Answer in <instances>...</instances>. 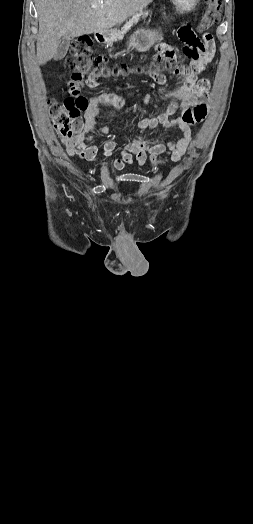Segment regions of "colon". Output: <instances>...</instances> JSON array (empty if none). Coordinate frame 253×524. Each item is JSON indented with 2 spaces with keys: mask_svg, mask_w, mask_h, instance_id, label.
<instances>
[{
  "mask_svg": "<svg viewBox=\"0 0 253 524\" xmlns=\"http://www.w3.org/2000/svg\"><path fill=\"white\" fill-rule=\"evenodd\" d=\"M221 13L222 0H206L198 30L204 32L214 28L221 19ZM110 61L109 53H96L93 56L92 39L87 35L79 36L71 44L69 55L66 58V63L72 70L69 94L63 100L52 101L49 106L53 125L64 144L68 145L73 142L84 128L82 113L89 105L87 98L81 94L85 84L94 87L102 79L131 72L127 65L109 68ZM160 67L163 71L165 70L162 66ZM206 114V107L197 105L191 110L190 120L193 123H199L203 121ZM171 159L176 160L177 155L172 153ZM152 160L160 164L165 162L164 159L156 157H152Z\"/></svg>",
  "mask_w": 253,
  "mask_h": 524,
  "instance_id": "1",
  "label": "colon"
}]
</instances>
